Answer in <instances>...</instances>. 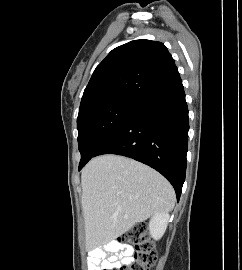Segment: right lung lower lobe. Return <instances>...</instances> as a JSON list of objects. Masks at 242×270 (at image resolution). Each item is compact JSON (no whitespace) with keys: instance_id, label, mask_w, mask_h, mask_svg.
Wrapping results in <instances>:
<instances>
[{"instance_id":"right-lung-lower-lobe-1","label":"right lung lower lobe","mask_w":242,"mask_h":270,"mask_svg":"<svg viewBox=\"0 0 242 270\" xmlns=\"http://www.w3.org/2000/svg\"><path fill=\"white\" fill-rule=\"evenodd\" d=\"M188 130V108L178 76L138 101L93 157L118 154L149 165L168 179L179 200L185 180ZM88 161L80 163L79 170Z\"/></svg>"}]
</instances>
